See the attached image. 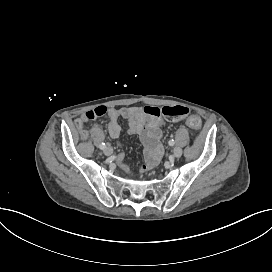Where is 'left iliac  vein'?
I'll return each mask as SVG.
<instances>
[{
    "instance_id": "left-iliac-vein-1",
    "label": "left iliac vein",
    "mask_w": 272,
    "mask_h": 272,
    "mask_svg": "<svg viewBox=\"0 0 272 272\" xmlns=\"http://www.w3.org/2000/svg\"><path fill=\"white\" fill-rule=\"evenodd\" d=\"M182 155V149L180 147H175L173 150V156L175 158H180Z\"/></svg>"
}]
</instances>
